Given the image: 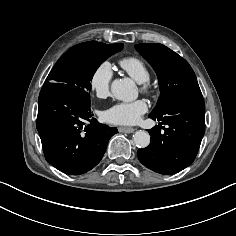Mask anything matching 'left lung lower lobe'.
<instances>
[{"label": "left lung lower lobe", "instance_id": "0a47b994", "mask_svg": "<svg viewBox=\"0 0 236 236\" xmlns=\"http://www.w3.org/2000/svg\"><path fill=\"white\" fill-rule=\"evenodd\" d=\"M205 104L201 93L184 95L172 102L153 120L167 127H153L151 143L137 151L140 162L160 174H174L189 166L195 159L205 132Z\"/></svg>", "mask_w": 236, "mask_h": 236}]
</instances>
